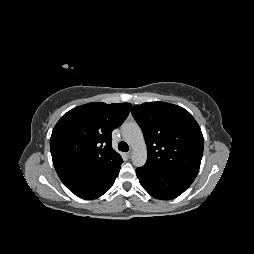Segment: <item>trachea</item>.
<instances>
[{
  "label": "trachea",
  "instance_id": "obj_1",
  "mask_svg": "<svg viewBox=\"0 0 254 254\" xmlns=\"http://www.w3.org/2000/svg\"><path fill=\"white\" fill-rule=\"evenodd\" d=\"M118 149L120 151H123V152H127L129 150V146L126 142L124 141H121L119 144H118Z\"/></svg>",
  "mask_w": 254,
  "mask_h": 254
}]
</instances>
